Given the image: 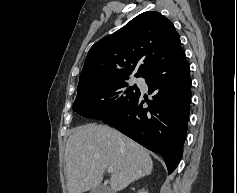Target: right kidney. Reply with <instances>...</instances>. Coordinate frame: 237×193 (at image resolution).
I'll return each mask as SVG.
<instances>
[{
    "instance_id": "obj_1",
    "label": "right kidney",
    "mask_w": 237,
    "mask_h": 193,
    "mask_svg": "<svg viewBox=\"0 0 237 193\" xmlns=\"http://www.w3.org/2000/svg\"><path fill=\"white\" fill-rule=\"evenodd\" d=\"M138 193H148L147 191H141V192H138Z\"/></svg>"
}]
</instances>
